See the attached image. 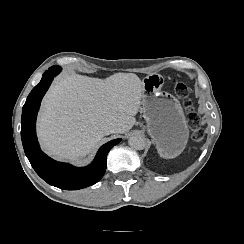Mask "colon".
I'll list each match as a JSON object with an SVG mask.
<instances>
[{"label":"colon","mask_w":244,"mask_h":244,"mask_svg":"<svg viewBox=\"0 0 244 244\" xmlns=\"http://www.w3.org/2000/svg\"><path fill=\"white\" fill-rule=\"evenodd\" d=\"M171 84L173 86V88L175 89V91L181 96L182 98V103L184 104L187 112H188V118L190 121H194L198 119V115L194 112V107H193V103L192 100L189 99L188 97V86L177 80V79H173L171 81ZM204 138V131L200 128H196L193 132V139L195 141H201Z\"/></svg>","instance_id":"obj_1"}]
</instances>
